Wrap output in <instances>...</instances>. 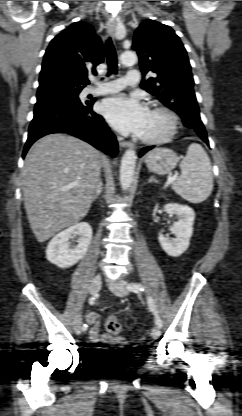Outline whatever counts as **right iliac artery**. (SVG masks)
Segmentation results:
<instances>
[{"label": "right iliac artery", "instance_id": "82829eb1", "mask_svg": "<svg viewBox=\"0 0 242 416\" xmlns=\"http://www.w3.org/2000/svg\"><path fill=\"white\" fill-rule=\"evenodd\" d=\"M95 303V297L92 296L89 298V304L93 305ZM88 328L87 324H83V326L81 327L82 331H86Z\"/></svg>", "mask_w": 242, "mask_h": 416}]
</instances>
